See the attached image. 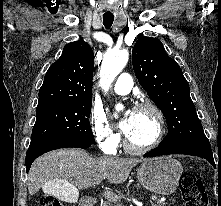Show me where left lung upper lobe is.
I'll use <instances>...</instances> for the list:
<instances>
[{
    "label": "left lung upper lobe",
    "instance_id": "5c2ea615",
    "mask_svg": "<svg viewBox=\"0 0 221 206\" xmlns=\"http://www.w3.org/2000/svg\"><path fill=\"white\" fill-rule=\"evenodd\" d=\"M133 69L140 85L166 118L168 134L159 145H210L181 68L161 41L140 38L133 47Z\"/></svg>",
    "mask_w": 221,
    "mask_h": 206
}]
</instances>
